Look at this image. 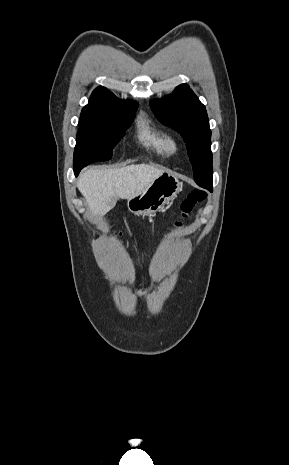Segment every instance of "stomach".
I'll return each instance as SVG.
<instances>
[{
    "mask_svg": "<svg viewBox=\"0 0 289 465\" xmlns=\"http://www.w3.org/2000/svg\"><path fill=\"white\" fill-rule=\"evenodd\" d=\"M182 186L183 184L177 177L163 172L155 177L143 191L127 199L128 210L135 215L151 216L176 198Z\"/></svg>",
    "mask_w": 289,
    "mask_h": 465,
    "instance_id": "obj_1",
    "label": "stomach"
}]
</instances>
